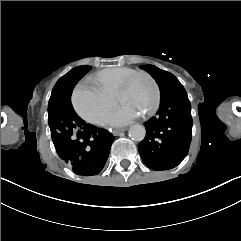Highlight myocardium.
I'll return each instance as SVG.
<instances>
[{
	"mask_svg": "<svg viewBox=\"0 0 241 241\" xmlns=\"http://www.w3.org/2000/svg\"><path fill=\"white\" fill-rule=\"evenodd\" d=\"M143 75L144 78H147V81L149 83H151V86H153V89H155V99L153 102V105H151L149 107L148 110H146V115H151L154 114V111L156 110V107H158L160 100H161V90L158 89V84H156L155 78L151 76H149V72H145L142 70H138V71H133L131 73L125 74L122 79L121 82L119 84L118 90H117V97L120 100L125 99V89L127 87H129V85L133 82L138 80L139 75ZM144 115V116H146Z\"/></svg>",
	"mask_w": 241,
	"mask_h": 241,
	"instance_id": "f54148a6",
	"label": "myocardium"
}]
</instances>
